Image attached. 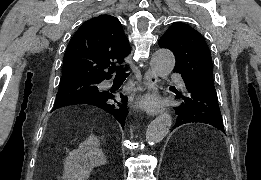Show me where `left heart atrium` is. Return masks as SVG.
<instances>
[{
  "label": "left heart atrium",
  "instance_id": "1",
  "mask_svg": "<svg viewBox=\"0 0 261 180\" xmlns=\"http://www.w3.org/2000/svg\"><path fill=\"white\" fill-rule=\"evenodd\" d=\"M144 103H145V105H151V104L153 103V101H151V100H146Z\"/></svg>",
  "mask_w": 261,
  "mask_h": 180
}]
</instances>
